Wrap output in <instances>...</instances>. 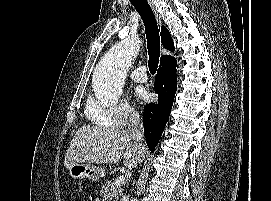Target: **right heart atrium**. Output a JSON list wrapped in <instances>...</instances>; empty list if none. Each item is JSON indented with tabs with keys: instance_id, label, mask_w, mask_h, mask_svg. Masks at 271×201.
Masks as SVG:
<instances>
[{
	"instance_id": "1",
	"label": "right heart atrium",
	"mask_w": 271,
	"mask_h": 201,
	"mask_svg": "<svg viewBox=\"0 0 271 201\" xmlns=\"http://www.w3.org/2000/svg\"><path fill=\"white\" fill-rule=\"evenodd\" d=\"M86 116L95 124L117 127L134 124L140 119L139 112L127 101H121L113 107H105L95 98L89 101Z\"/></svg>"
}]
</instances>
